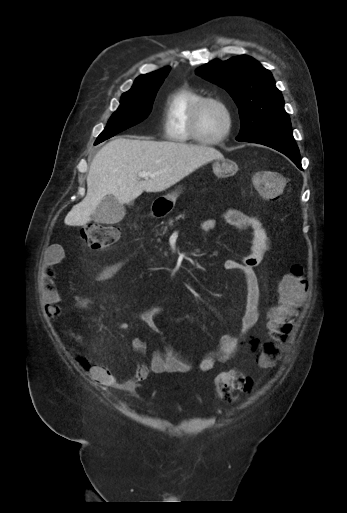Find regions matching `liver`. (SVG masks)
<instances>
[{"instance_id":"6515ba94","label":"liver","mask_w":347,"mask_h":513,"mask_svg":"<svg viewBox=\"0 0 347 513\" xmlns=\"http://www.w3.org/2000/svg\"><path fill=\"white\" fill-rule=\"evenodd\" d=\"M223 155L213 147L176 142H156L117 138L95 155L87 176L86 197L73 206L64 222L69 226L87 224L107 195L128 204L146 192L170 188L200 166ZM140 172L155 174L140 180Z\"/></svg>"}]
</instances>
